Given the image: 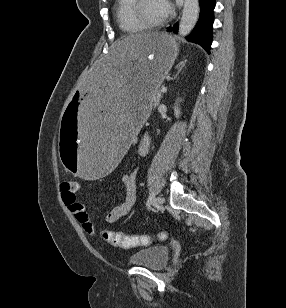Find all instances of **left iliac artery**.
<instances>
[{
    "label": "left iliac artery",
    "mask_w": 286,
    "mask_h": 308,
    "mask_svg": "<svg viewBox=\"0 0 286 308\" xmlns=\"http://www.w3.org/2000/svg\"><path fill=\"white\" fill-rule=\"evenodd\" d=\"M153 199H154V193L152 192V193L150 194V196L148 197V199H147L146 205H147L148 208L151 207V204H152Z\"/></svg>",
    "instance_id": "44dca946"
}]
</instances>
